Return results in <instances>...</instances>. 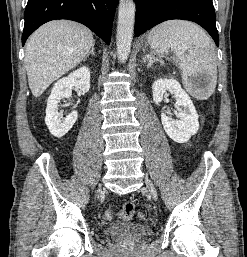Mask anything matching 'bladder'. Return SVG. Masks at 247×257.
Wrapping results in <instances>:
<instances>
[{
  "mask_svg": "<svg viewBox=\"0 0 247 257\" xmlns=\"http://www.w3.org/2000/svg\"><path fill=\"white\" fill-rule=\"evenodd\" d=\"M103 233L108 238L137 242L149 237L152 234V229L147 225L120 223L107 226Z\"/></svg>",
  "mask_w": 247,
  "mask_h": 257,
  "instance_id": "31cf9c89",
  "label": "bladder"
}]
</instances>
